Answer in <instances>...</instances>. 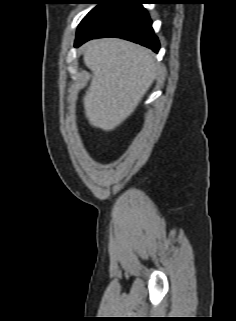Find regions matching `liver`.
<instances>
[{"label": "liver", "mask_w": 236, "mask_h": 321, "mask_svg": "<svg viewBox=\"0 0 236 321\" xmlns=\"http://www.w3.org/2000/svg\"><path fill=\"white\" fill-rule=\"evenodd\" d=\"M83 60L93 77L83 97L90 125L112 131L136 109L156 77L151 50L117 38L93 40Z\"/></svg>", "instance_id": "6515ba94"}]
</instances>
